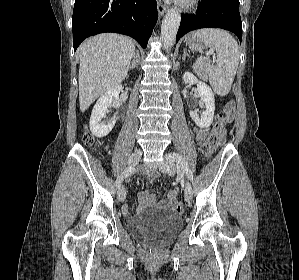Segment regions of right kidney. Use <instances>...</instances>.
Listing matches in <instances>:
<instances>
[{"label": "right kidney", "mask_w": 299, "mask_h": 280, "mask_svg": "<svg viewBox=\"0 0 299 280\" xmlns=\"http://www.w3.org/2000/svg\"><path fill=\"white\" fill-rule=\"evenodd\" d=\"M120 89L121 86L118 85L109 90L108 92L103 94L94 105L90 117V130L94 136L103 138L107 136L115 126L117 120L116 116H113L107 122V124L102 122V119L106 116L108 108L111 107L115 103V100L118 99Z\"/></svg>", "instance_id": "ca27d5eb"}]
</instances>
